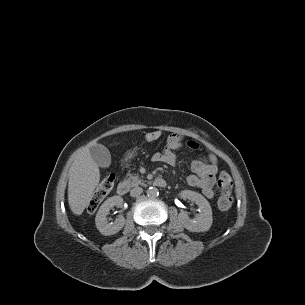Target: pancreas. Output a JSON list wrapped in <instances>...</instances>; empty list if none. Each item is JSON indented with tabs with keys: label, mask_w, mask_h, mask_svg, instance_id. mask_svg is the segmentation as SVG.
<instances>
[{
	"label": "pancreas",
	"mask_w": 305,
	"mask_h": 305,
	"mask_svg": "<svg viewBox=\"0 0 305 305\" xmlns=\"http://www.w3.org/2000/svg\"><path fill=\"white\" fill-rule=\"evenodd\" d=\"M126 181L130 186H138L142 183V179L139 175H131Z\"/></svg>",
	"instance_id": "pancreas-1"
}]
</instances>
